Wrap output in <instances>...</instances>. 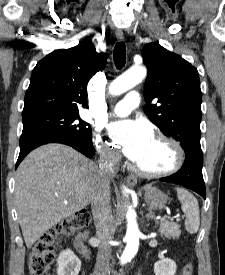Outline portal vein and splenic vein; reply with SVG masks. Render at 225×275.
<instances>
[{
    "mask_svg": "<svg viewBox=\"0 0 225 275\" xmlns=\"http://www.w3.org/2000/svg\"><path fill=\"white\" fill-rule=\"evenodd\" d=\"M165 220H166L165 217L160 218V221H165Z\"/></svg>",
    "mask_w": 225,
    "mask_h": 275,
    "instance_id": "18ae733b",
    "label": "portal vein and splenic vein"
}]
</instances>
